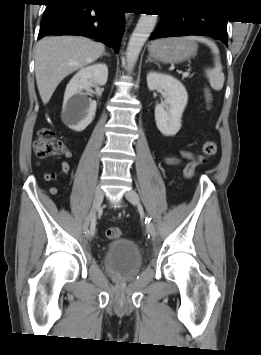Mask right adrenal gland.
<instances>
[{
    "mask_svg": "<svg viewBox=\"0 0 261 355\" xmlns=\"http://www.w3.org/2000/svg\"><path fill=\"white\" fill-rule=\"evenodd\" d=\"M103 56H109V57H110V54H108V53H106V52L104 51L102 57H103Z\"/></svg>",
    "mask_w": 261,
    "mask_h": 355,
    "instance_id": "right-adrenal-gland-1",
    "label": "right adrenal gland"
}]
</instances>
